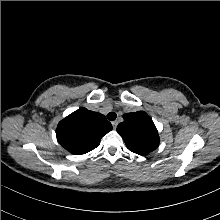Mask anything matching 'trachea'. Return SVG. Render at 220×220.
<instances>
[{"label":"trachea","mask_w":220,"mask_h":220,"mask_svg":"<svg viewBox=\"0 0 220 220\" xmlns=\"http://www.w3.org/2000/svg\"><path fill=\"white\" fill-rule=\"evenodd\" d=\"M117 117V114L115 112H109L107 114V119L110 120V121H114Z\"/></svg>","instance_id":"trachea-1"}]
</instances>
